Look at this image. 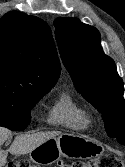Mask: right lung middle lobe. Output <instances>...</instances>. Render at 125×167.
<instances>
[{"label": "right lung middle lobe", "mask_w": 125, "mask_h": 167, "mask_svg": "<svg viewBox=\"0 0 125 167\" xmlns=\"http://www.w3.org/2000/svg\"><path fill=\"white\" fill-rule=\"evenodd\" d=\"M50 89L32 93L0 90V126L24 130L31 121L30 110Z\"/></svg>", "instance_id": "obj_1"}]
</instances>
